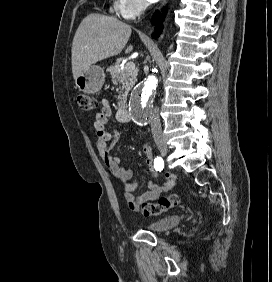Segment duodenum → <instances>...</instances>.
<instances>
[{"label":"duodenum","instance_id":"obj_1","mask_svg":"<svg viewBox=\"0 0 272 282\" xmlns=\"http://www.w3.org/2000/svg\"><path fill=\"white\" fill-rule=\"evenodd\" d=\"M127 103V100H122L119 105L120 117L124 120H127L129 117V114L127 113Z\"/></svg>","mask_w":272,"mask_h":282}]
</instances>
